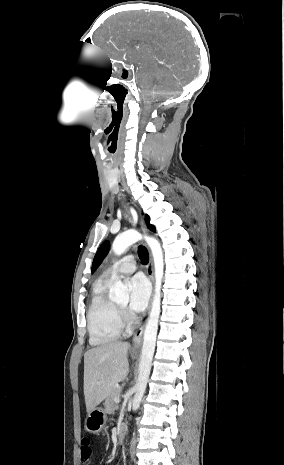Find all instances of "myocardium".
<instances>
[{
  "label": "myocardium",
  "instance_id": "f54148a6",
  "mask_svg": "<svg viewBox=\"0 0 284 465\" xmlns=\"http://www.w3.org/2000/svg\"><path fill=\"white\" fill-rule=\"evenodd\" d=\"M116 309L121 319V321H118L117 323L119 328L123 331L124 329H127L131 326L133 320L132 317L126 311L120 309L118 306H116Z\"/></svg>",
  "mask_w": 284,
  "mask_h": 465
}]
</instances>
